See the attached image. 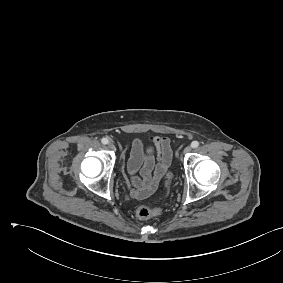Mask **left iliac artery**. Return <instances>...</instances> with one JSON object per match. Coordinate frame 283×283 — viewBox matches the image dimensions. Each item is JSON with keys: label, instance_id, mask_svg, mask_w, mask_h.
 Segmentation results:
<instances>
[{"label": "left iliac artery", "instance_id": "obj_1", "mask_svg": "<svg viewBox=\"0 0 283 283\" xmlns=\"http://www.w3.org/2000/svg\"><path fill=\"white\" fill-rule=\"evenodd\" d=\"M199 146V142L198 141H193L192 143H191V147L192 148H197Z\"/></svg>", "mask_w": 283, "mask_h": 283}]
</instances>
